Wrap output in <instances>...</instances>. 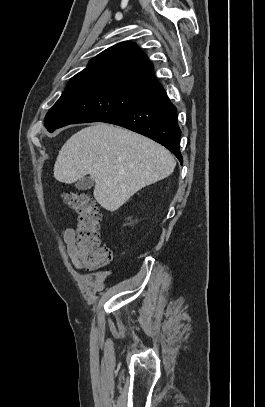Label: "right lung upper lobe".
<instances>
[{
    "label": "right lung upper lobe",
    "mask_w": 265,
    "mask_h": 407,
    "mask_svg": "<svg viewBox=\"0 0 265 407\" xmlns=\"http://www.w3.org/2000/svg\"><path fill=\"white\" fill-rule=\"evenodd\" d=\"M83 75H103L155 88L161 85L155 78L153 65L147 56L134 43L128 41L104 50L75 76Z\"/></svg>",
    "instance_id": "right-lung-upper-lobe-1"
}]
</instances>
